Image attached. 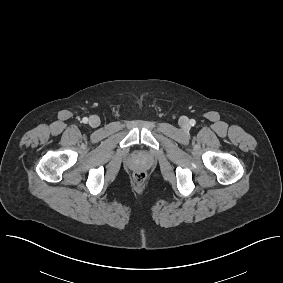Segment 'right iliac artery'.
Listing matches in <instances>:
<instances>
[{
	"label": "right iliac artery",
	"mask_w": 283,
	"mask_h": 283,
	"mask_svg": "<svg viewBox=\"0 0 283 283\" xmlns=\"http://www.w3.org/2000/svg\"><path fill=\"white\" fill-rule=\"evenodd\" d=\"M82 122L86 124V123L88 122V118H87V117H84V118L82 119Z\"/></svg>",
	"instance_id": "82829eb1"
}]
</instances>
